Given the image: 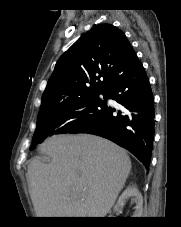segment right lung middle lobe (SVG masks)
I'll return each instance as SVG.
<instances>
[{
    "label": "right lung middle lobe",
    "instance_id": "dd1d6c3e",
    "mask_svg": "<svg viewBox=\"0 0 181 227\" xmlns=\"http://www.w3.org/2000/svg\"><path fill=\"white\" fill-rule=\"evenodd\" d=\"M107 98L108 92H100L40 110L30 149L54 134L78 133L90 126L106 110Z\"/></svg>",
    "mask_w": 181,
    "mask_h": 227
}]
</instances>
